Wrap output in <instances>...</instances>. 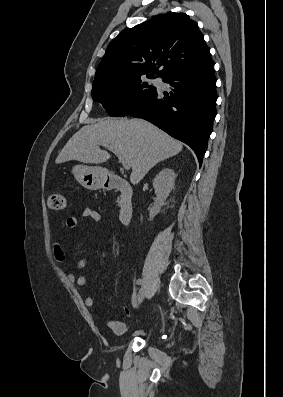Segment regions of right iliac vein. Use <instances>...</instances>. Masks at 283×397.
I'll return each mask as SVG.
<instances>
[{
  "label": "right iliac vein",
  "instance_id": "63e3f726",
  "mask_svg": "<svg viewBox=\"0 0 283 397\" xmlns=\"http://www.w3.org/2000/svg\"><path fill=\"white\" fill-rule=\"evenodd\" d=\"M144 295H145V288L142 287V288L140 289V291H139L138 296H137V302H138V304H140V303L143 301Z\"/></svg>",
  "mask_w": 283,
  "mask_h": 397
}]
</instances>
